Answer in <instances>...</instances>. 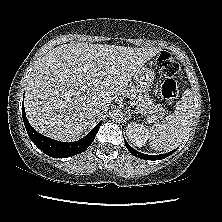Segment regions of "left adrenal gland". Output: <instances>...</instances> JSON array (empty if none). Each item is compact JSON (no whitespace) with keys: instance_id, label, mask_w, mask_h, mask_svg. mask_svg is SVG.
Returning a JSON list of instances; mask_svg holds the SVG:
<instances>
[{"instance_id":"left-adrenal-gland-1","label":"left adrenal gland","mask_w":222,"mask_h":222,"mask_svg":"<svg viewBox=\"0 0 222 222\" xmlns=\"http://www.w3.org/2000/svg\"><path fill=\"white\" fill-rule=\"evenodd\" d=\"M127 111H128V116H130L131 114H137V112L132 110L130 107H127Z\"/></svg>"}]
</instances>
